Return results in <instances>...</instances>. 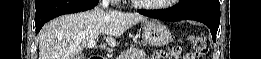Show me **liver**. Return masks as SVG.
I'll return each instance as SVG.
<instances>
[{
    "instance_id": "1",
    "label": "liver",
    "mask_w": 261,
    "mask_h": 59,
    "mask_svg": "<svg viewBox=\"0 0 261 59\" xmlns=\"http://www.w3.org/2000/svg\"><path fill=\"white\" fill-rule=\"evenodd\" d=\"M145 20L138 14L100 8L60 16L45 24L39 33V59H75L101 33L109 46H116V38Z\"/></svg>"
}]
</instances>
